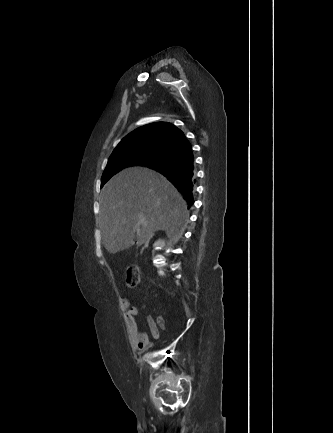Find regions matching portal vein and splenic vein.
Listing matches in <instances>:
<instances>
[{"label":"portal vein and splenic vein","instance_id":"1","mask_svg":"<svg viewBox=\"0 0 333 433\" xmlns=\"http://www.w3.org/2000/svg\"><path fill=\"white\" fill-rule=\"evenodd\" d=\"M140 223H142V224H143V223H144V220H140Z\"/></svg>","mask_w":333,"mask_h":433}]
</instances>
